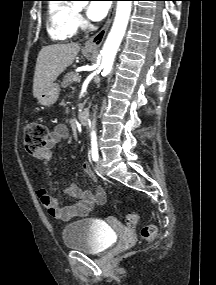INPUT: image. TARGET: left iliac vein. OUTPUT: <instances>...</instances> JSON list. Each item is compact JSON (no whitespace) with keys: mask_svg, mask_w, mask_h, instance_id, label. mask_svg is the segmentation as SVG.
<instances>
[{"mask_svg":"<svg viewBox=\"0 0 216 285\" xmlns=\"http://www.w3.org/2000/svg\"><path fill=\"white\" fill-rule=\"evenodd\" d=\"M96 169L100 174H105V169L101 159L96 162Z\"/></svg>","mask_w":216,"mask_h":285,"instance_id":"obj_1","label":"left iliac vein"}]
</instances>
